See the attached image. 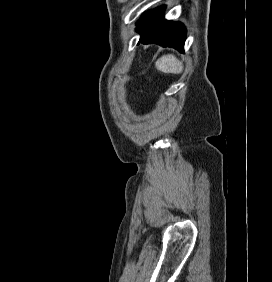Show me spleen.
<instances>
[{
	"label": "spleen",
	"instance_id": "spleen-1",
	"mask_svg": "<svg viewBox=\"0 0 272 282\" xmlns=\"http://www.w3.org/2000/svg\"><path fill=\"white\" fill-rule=\"evenodd\" d=\"M155 67L163 73L179 74L183 71L182 63L171 54L164 55L158 59L155 63Z\"/></svg>",
	"mask_w": 272,
	"mask_h": 282
}]
</instances>
